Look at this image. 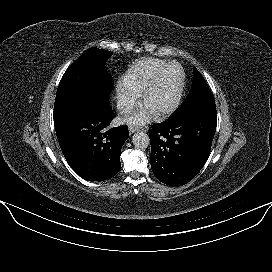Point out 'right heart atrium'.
Segmentation results:
<instances>
[{"instance_id":"right-heart-atrium-1","label":"right heart atrium","mask_w":272,"mask_h":272,"mask_svg":"<svg viewBox=\"0 0 272 272\" xmlns=\"http://www.w3.org/2000/svg\"><path fill=\"white\" fill-rule=\"evenodd\" d=\"M139 94L127 89L122 84L117 86L116 89V102L117 107L122 113L129 112L137 103Z\"/></svg>"}]
</instances>
